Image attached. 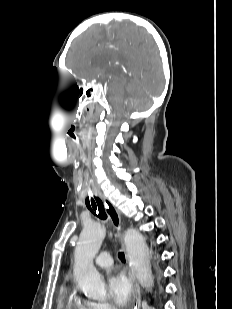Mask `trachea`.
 <instances>
[{"instance_id": "1", "label": "trachea", "mask_w": 232, "mask_h": 309, "mask_svg": "<svg viewBox=\"0 0 232 309\" xmlns=\"http://www.w3.org/2000/svg\"><path fill=\"white\" fill-rule=\"evenodd\" d=\"M68 135L73 140V142L82 149V141L80 136L73 130L68 131ZM85 204L87 208L95 215L98 216L101 220L107 219V214L104 209V204L101 199L94 193L90 183H87V198L85 199ZM118 257L121 261H125V255L123 252L118 253Z\"/></svg>"}]
</instances>
